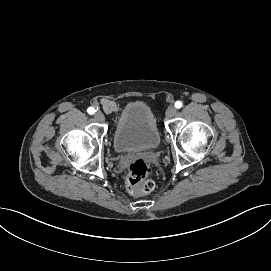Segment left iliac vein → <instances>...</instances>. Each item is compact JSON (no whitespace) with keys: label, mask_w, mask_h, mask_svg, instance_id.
<instances>
[{"label":"left iliac vein","mask_w":271,"mask_h":271,"mask_svg":"<svg viewBox=\"0 0 271 271\" xmlns=\"http://www.w3.org/2000/svg\"><path fill=\"white\" fill-rule=\"evenodd\" d=\"M177 113V109L174 106H170L166 110L167 117H174Z\"/></svg>","instance_id":"4c4485c4"}]
</instances>
